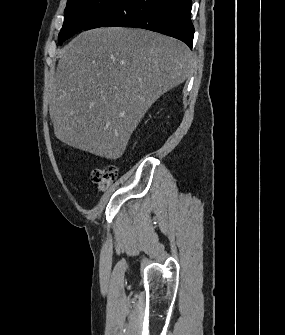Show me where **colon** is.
<instances>
[{
  "label": "colon",
  "mask_w": 285,
  "mask_h": 335,
  "mask_svg": "<svg viewBox=\"0 0 285 335\" xmlns=\"http://www.w3.org/2000/svg\"><path fill=\"white\" fill-rule=\"evenodd\" d=\"M117 175L116 166L108 164L103 168L95 169L92 173V178L101 190H105L116 180Z\"/></svg>",
  "instance_id": "colon-1"
}]
</instances>
